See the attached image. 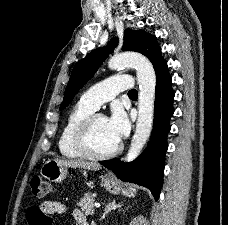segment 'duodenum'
Masks as SVG:
<instances>
[{
	"instance_id": "obj_1",
	"label": "duodenum",
	"mask_w": 228,
	"mask_h": 225,
	"mask_svg": "<svg viewBox=\"0 0 228 225\" xmlns=\"http://www.w3.org/2000/svg\"><path fill=\"white\" fill-rule=\"evenodd\" d=\"M80 225H88V223L84 219H82Z\"/></svg>"
}]
</instances>
